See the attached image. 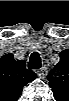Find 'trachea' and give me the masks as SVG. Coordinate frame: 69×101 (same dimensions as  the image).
<instances>
[{
    "instance_id": "3493384b",
    "label": "trachea",
    "mask_w": 69,
    "mask_h": 101,
    "mask_svg": "<svg viewBox=\"0 0 69 101\" xmlns=\"http://www.w3.org/2000/svg\"><path fill=\"white\" fill-rule=\"evenodd\" d=\"M42 65L41 57L38 52H33L30 55V59L28 62V68L29 69H39Z\"/></svg>"
}]
</instances>
